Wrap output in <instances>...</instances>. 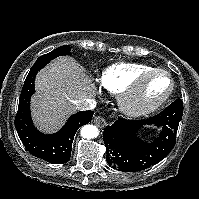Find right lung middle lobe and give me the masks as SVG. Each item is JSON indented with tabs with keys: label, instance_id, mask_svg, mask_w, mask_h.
Here are the masks:
<instances>
[{
	"label": "right lung middle lobe",
	"instance_id": "obj_1",
	"mask_svg": "<svg viewBox=\"0 0 199 199\" xmlns=\"http://www.w3.org/2000/svg\"><path fill=\"white\" fill-rule=\"evenodd\" d=\"M69 54H70V47L68 45H63L47 54L40 56L36 60L35 64H39L41 62H50L51 60H53L58 56L69 55Z\"/></svg>",
	"mask_w": 199,
	"mask_h": 199
}]
</instances>
